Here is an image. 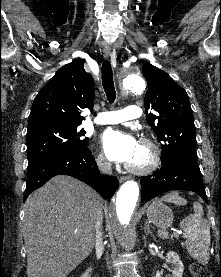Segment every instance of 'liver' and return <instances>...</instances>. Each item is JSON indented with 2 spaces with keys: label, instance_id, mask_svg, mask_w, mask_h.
<instances>
[{
  "label": "liver",
  "instance_id": "obj_1",
  "mask_svg": "<svg viewBox=\"0 0 221 277\" xmlns=\"http://www.w3.org/2000/svg\"><path fill=\"white\" fill-rule=\"evenodd\" d=\"M100 196L83 182L55 176L25 202L28 277H66L92 252Z\"/></svg>",
  "mask_w": 221,
  "mask_h": 277
}]
</instances>
